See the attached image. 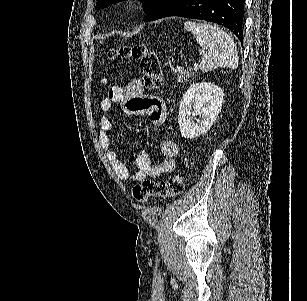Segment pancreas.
<instances>
[{
    "mask_svg": "<svg viewBox=\"0 0 307 301\" xmlns=\"http://www.w3.org/2000/svg\"><path fill=\"white\" fill-rule=\"evenodd\" d=\"M194 72L192 70H189V68H185V70H179L177 72V80L178 82H182V84H185V82H188V78L190 76H193Z\"/></svg>",
    "mask_w": 307,
    "mask_h": 301,
    "instance_id": "cf45deb5",
    "label": "pancreas"
}]
</instances>
